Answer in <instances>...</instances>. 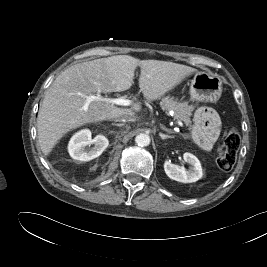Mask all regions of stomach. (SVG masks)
<instances>
[{
    "label": "stomach",
    "mask_w": 267,
    "mask_h": 267,
    "mask_svg": "<svg viewBox=\"0 0 267 267\" xmlns=\"http://www.w3.org/2000/svg\"><path fill=\"white\" fill-rule=\"evenodd\" d=\"M222 94V80L217 75L197 72L191 80L190 97L197 102H216Z\"/></svg>",
    "instance_id": "obj_1"
}]
</instances>
